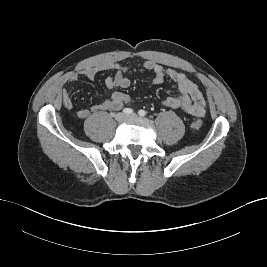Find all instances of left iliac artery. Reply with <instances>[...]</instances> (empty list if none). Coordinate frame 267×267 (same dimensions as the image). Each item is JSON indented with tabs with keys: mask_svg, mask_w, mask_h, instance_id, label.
I'll return each instance as SVG.
<instances>
[{
	"mask_svg": "<svg viewBox=\"0 0 267 267\" xmlns=\"http://www.w3.org/2000/svg\"><path fill=\"white\" fill-rule=\"evenodd\" d=\"M138 114L140 116H145L146 115V112L144 110H139Z\"/></svg>",
	"mask_w": 267,
	"mask_h": 267,
	"instance_id": "1",
	"label": "left iliac artery"
}]
</instances>
